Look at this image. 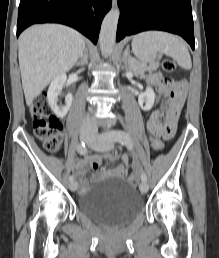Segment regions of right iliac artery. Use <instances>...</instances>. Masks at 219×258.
I'll return each instance as SVG.
<instances>
[{"label": "right iliac artery", "mask_w": 219, "mask_h": 258, "mask_svg": "<svg viewBox=\"0 0 219 258\" xmlns=\"http://www.w3.org/2000/svg\"><path fill=\"white\" fill-rule=\"evenodd\" d=\"M77 152H78L80 155H86V154H87V148H86L84 142H82V143H80V144L77 145ZM69 180H70V181H73V180H74V176L71 175V176L69 177Z\"/></svg>", "instance_id": "82829eb1"}]
</instances>
